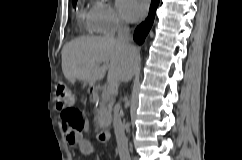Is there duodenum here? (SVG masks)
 <instances>
[{
  "instance_id": "obj_1",
  "label": "duodenum",
  "mask_w": 242,
  "mask_h": 160,
  "mask_svg": "<svg viewBox=\"0 0 242 160\" xmlns=\"http://www.w3.org/2000/svg\"><path fill=\"white\" fill-rule=\"evenodd\" d=\"M96 94H97V92H96L95 90H92L91 95H92L93 97H95ZM97 138H98V140H99L100 142H102V143H106V142H108L109 139H110V133H109V131H108L107 129H101V130L98 132V134H97Z\"/></svg>"
}]
</instances>
